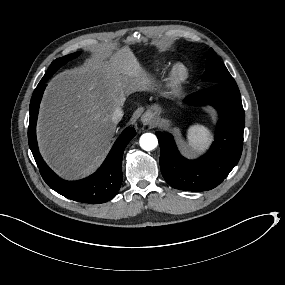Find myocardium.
Returning <instances> with one entry per match:
<instances>
[{"label":"myocardium","mask_w":285,"mask_h":285,"mask_svg":"<svg viewBox=\"0 0 285 285\" xmlns=\"http://www.w3.org/2000/svg\"><path fill=\"white\" fill-rule=\"evenodd\" d=\"M182 77V74H176L175 75V81H178Z\"/></svg>","instance_id":"f54148a6"}]
</instances>
